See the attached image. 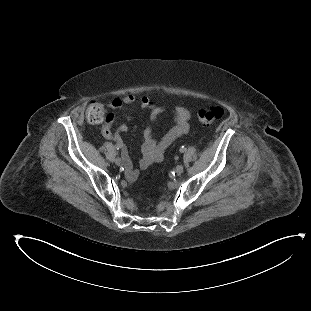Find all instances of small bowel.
I'll return each mask as SVG.
<instances>
[{
	"label": "small bowel",
	"mask_w": 311,
	"mask_h": 311,
	"mask_svg": "<svg viewBox=\"0 0 311 311\" xmlns=\"http://www.w3.org/2000/svg\"><path fill=\"white\" fill-rule=\"evenodd\" d=\"M138 103L142 109H145L150 114V123L144 132V142L142 146V157L139 159V167L146 169L153 163L160 162L163 159L165 151L168 147L180 136L188 134L189 120L191 113L183 107H179L175 111L174 125L156 141L153 136V127L157 118L166 111L165 105L155 104L147 96L136 97L134 95H127L123 98H115L107 102V107L114 110H121L125 106ZM128 131V125L122 123L116 132L111 130L110 124L102 126V134L106 138H112L120 141L122 136Z\"/></svg>",
	"instance_id": "1"
}]
</instances>
